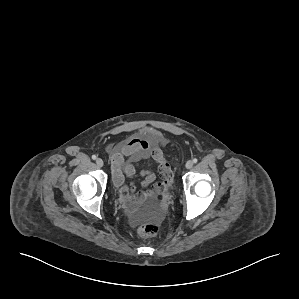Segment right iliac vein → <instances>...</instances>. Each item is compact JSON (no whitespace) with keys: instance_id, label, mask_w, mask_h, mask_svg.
Listing matches in <instances>:
<instances>
[{"instance_id":"1","label":"right iliac vein","mask_w":299,"mask_h":299,"mask_svg":"<svg viewBox=\"0 0 299 299\" xmlns=\"http://www.w3.org/2000/svg\"><path fill=\"white\" fill-rule=\"evenodd\" d=\"M96 164L98 167H102L104 165V162L101 158H97L96 159Z\"/></svg>"}]
</instances>
